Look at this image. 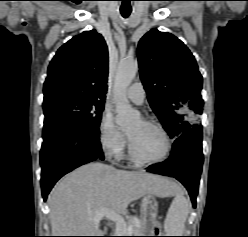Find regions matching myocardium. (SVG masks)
<instances>
[{
	"instance_id": "myocardium-1",
	"label": "myocardium",
	"mask_w": 248,
	"mask_h": 237,
	"mask_svg": "<svg viewBox=\"0 0 248 237\" xmlns=\"http://www.w3.org/2000/svg\"><path fill=\"white\" fill-rule=\"evenodd\" d=\"M141 121L144 124L157 129L161 133V135L163 136V138L165 140V145H166L165 150H164L163 154L157 158H144L138 154V152L134 148V146H133V144H132V142L128 136V148H129V154H130L131 158L133 160H135L139 163H143V164H156V163H160V162L166 160L168 158V156L170 155L171 150H172V142H171V138H170L168 132L160 123H158L154 120L142 119Z\"/></svg>"
}]
</instances>
